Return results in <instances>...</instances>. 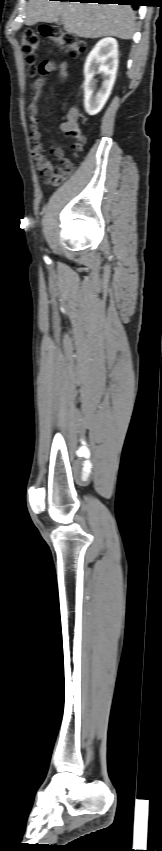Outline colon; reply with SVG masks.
Listing matches in <instances>:
<instances>
[{"instance_id": "obj_1", "label": "colon", "mask_w": 162, "mask_h": 851, "mask_svg": "<svg viewBox=\"0 0 162 851\" xmlns=\"http://www.w3.org/2000/svg\"><path fill=\"white\" fill-rule=\"evenodd\" d=\"M41 34L58 43L61 49L65 52L78 55L85 50V44L83 41L79 40L71 33L63 32L57 26H45L41 29ZM20 45L24 60L28 65L29 75L35 76L40 71V66H37V52L39 49L38 35L31 30L23 32L20 36ZM62 126L66 135L74 141L72 150L75 155H78L83 148L85 139L82 135L81 126L76 114L74 112H70ZM69 169V167L58 169L52 177V182H62L66 178Z\"/></svg>"}]
</instances>
